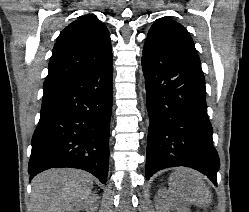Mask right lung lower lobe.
<instances>
[{
    "label": "right lung lower lobe",
    "instance_id": "98d812e1",
    "mask_svg": "<svg viewBox=\"0 0 249 212\" xmlns=\"http://www.w3.org/2000/svg\"><path fill=\"white\" fill-rule=\"evenodd\" d=\"M112 77L110 58L86 73L44 86L32 138L30 179L49 168L70 167L107 181Z\"/></svg>",
    "mask_w": 249,
    "mask_h": 212
}]
</instances>
